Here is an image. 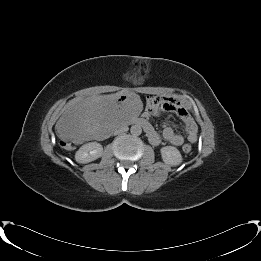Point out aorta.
Listing matches in <instances>:
<instances>
[{
  "label": "aorta",
  "mask_w": 261,
  "mask_h": 261,
  "mask_svg": "<svg viewBox=\"0 0 261 261\" xmlns=\"http://www.w3.org/2000/svg\"><path fill=\"white\" fill-rule=\"evenodd\" d=\"M130 132L134 136H139L142 133V128L140 125H132L130 128Z\"/></svg>",
  "instance_id": "aorta-1"
}]
</instances>
